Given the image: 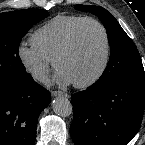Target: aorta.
<instances>
[{
    "label": "aorta",
    "mask_w": 145,
    "mask_h": 145,
    "mask_svg": "<svg viewBox=\"0 0 145 145\" xmlns=\"http://www.w3.org/2000/svg\"><path fill=\"white\" fill-rule=\"evenodd\" d=\"M54 112L62 117L70 116L73 112L72 104L64 95L56 97L52 102Z\"/></svg>",
    "instance_id": "aorta-1"
}]
</instances>
